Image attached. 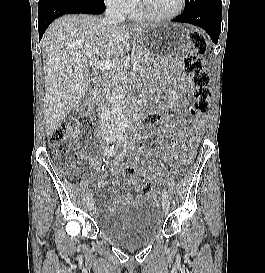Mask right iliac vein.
Returning <instances> with one entry per match:
<instances>
[{"mask_svg":"<svg viewBox=\"0 0 265 273\" xmlns=\"http://www.w3.org/2000/svg\"><path fill=\"white\" fill-rule=\"evenodd\" d=\"M109 140H114V137H110ZM86 207L89 211H91L94 207V202L92 200H88Z\"/></svg>","mask_w":265,"mask_h":273,"instance_id":"1","label":"right iliac vein"}]
</instances>
